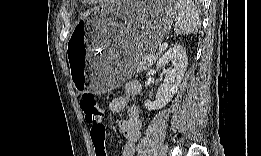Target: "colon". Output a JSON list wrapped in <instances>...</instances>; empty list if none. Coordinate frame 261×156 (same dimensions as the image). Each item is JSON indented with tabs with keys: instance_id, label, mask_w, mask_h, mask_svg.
<instances>
[{
	"instance_id": "colon-1",
	"label": "colon",
	"mask_w": 261,
	"mask_h": 156,
	"mask_svg": "<svg viewBox=\"0 0 261 156\" xmlns=\"http://www.w3.org/2000/svg\"><path fill=\"white\" fill-rule=\"evenodd\" d=\"M80 107L83 111L87 125L91 127V139L97 155H104V142L106 129L101 124L103 109L92 94H85L80 100Z\"/></svg>"
}]
</instances>
